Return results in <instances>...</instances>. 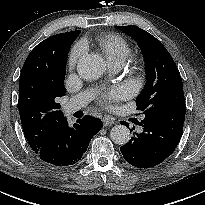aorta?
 Instances as JSON below:
<instances>
[{
    "instance_id": "1",
    "label": "aorta",
    "mask_w": 205,
    "mask_h": 205,
    "mask_svg": "<svg viewBox=\"0 0 205 205\" xmlns=\"http://www.w3.org/2000/svg\"><path fill=\"white\" fill-rule=\"evenodd\" d=\"M105 68L106 64L104 59L94 53L83 55L77 64L79 76L88 81L100 78ZM110 138L115 144L124 145L130 140L131 134L126 126L115 125L110 131Z\"/></svg>"
}]
</instances>
